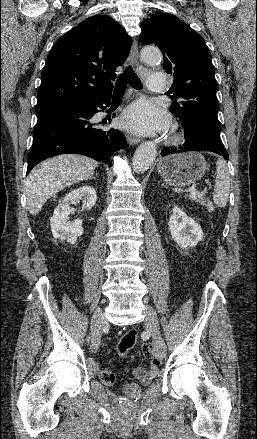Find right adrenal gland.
Returning a JSON list of instances; mask_svg holds the SVG:
<instances>
[{"label":"right adrenal gland","mask_w":257,"mask_h":439,"mask_svg":"<svg viewBox=\"0 0 257 439\" xmlns=\"http://www.w3.org/2000/svg\"><path fill=\"white\" fill-rule=\"evenodd\" d=\"M97 175V174H96ZM89 179H93V180H95V177L92 175Z\"/></svg>","instance_id":"obj_1"}]
</instances>
